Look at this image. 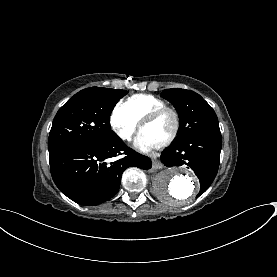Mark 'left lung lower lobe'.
I'll return each instance as SVG.
<instances>
[{
    "label": "left lung lower lobe",
    "mask_w": 277,
    "mask_h": 277,
    "mask_svg": "<svg viewBox=\"0 0 277 277\" xmlns=\"http://www.w3.org/2000/svg\"><path fill=\"white\" fill-rule=\"evenodd\" d=\"M221 133L210 131L175 141L161 155L165 166H189L200 181V192L204 193L213 182L220 162Z\"/></svg>",
    "instance_id": "1"
}]
</instances>
